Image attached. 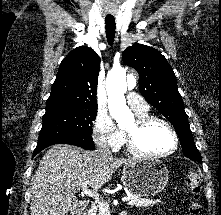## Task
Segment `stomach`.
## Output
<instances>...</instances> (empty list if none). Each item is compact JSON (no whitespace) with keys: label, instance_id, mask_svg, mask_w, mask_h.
I'll return each mask as SVG.
<instances>
[{"label":"stomach","instance_id":"stomach-1","mask_svg":"<svg viewBox=\"0 0 221 215\" xmlns=\"http://www.w3.org/2000/svg\"><path fill=\"white\" fill-rule=\"evenodd\" d=\"M169 172L159 160L137 159L123 167L122 184L131 195L154 196L164 190Z\"/></svg>","mask_w":221,"mask_h":215}]
</instances>
